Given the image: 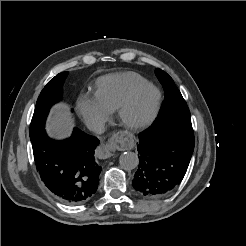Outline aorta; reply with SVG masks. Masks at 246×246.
<instances>
[{
	"label": "aorta",
	"mask_w": 246,
	"mask_h": 246,
	"mask_svg": "<svg viewBox=\"0 0 246 246\" xmlns=\"http://www.w3.org/2000/svg\"><path fill=\"white\" fill-rule=\"evenodd\" d=\"M120 165L126 170L135 169L139 164L138 155L134 152L128 151L120 155Z\"/></svg>",
	"instance_id": "1"
}]
</instances>
